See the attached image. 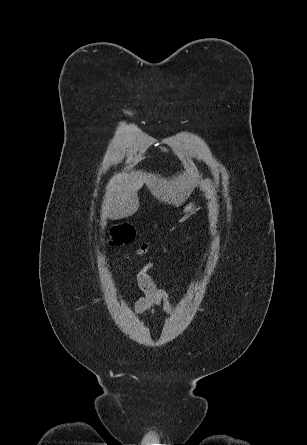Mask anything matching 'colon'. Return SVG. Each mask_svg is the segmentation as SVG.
<instances>
[{
  "label": "colon",
  "mask_w": 307,
  "mask_h": 445,
  "mask_svg": "<svg viewBox=\"0 0 307 445\" xmlns=\"http://www.w3.org/2000/svg\"><path fill=\"white\" fill-rule=\"evenodd\" d=\"M135 237V228L129 223H120L114 225L110 229V245L121 246L130 243ZM148 245L143 244L139 249V253H145Z\"/></svg>",
  "instance_id": "colon-1"
}]
</instances>
